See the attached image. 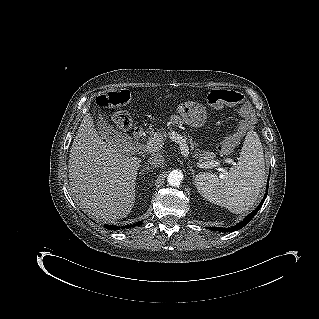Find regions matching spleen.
I'll use <instances>...</instances> for the list:
<instances>
[{"label":"spleen","mask_w":319,"mask_h":319,"mask_svg":"<svg viewBox=\"0 0 319 319\" xmlns=\"http://www.w3.org/2000/svg\"><path fill=\"white\" fill-rule=\"evenodd\" d=\"M262 143L255 131H249L238 163L223 177L199 173L195 177L198 192L208 201L239 214L256 202L265 181Z\"/></svg>","instance_id":"spleen-1"}]
</instances>
